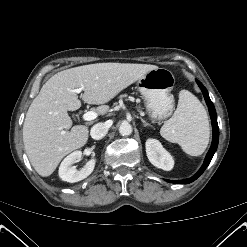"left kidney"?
Here are the masks:
<instances>
[{
  "instance_id": "1",
  "label": "left kidney",
  "mask_w": 247,
  "mask_h": 247,
  "mask_svg": "<svg viewBox=\"0 0 247 247\" xmlns=\"http://www.w3.org/2000/svg\"><path fill=\"white\" fill-rule=\"evenodd\" d=\"M145 145L146 154L151 164L165 171L172 170L174 166L173 157L165 148H163L158 140L148 139Z\"/></svg>"
}]
</instances>
